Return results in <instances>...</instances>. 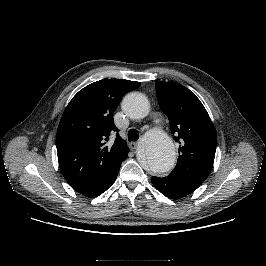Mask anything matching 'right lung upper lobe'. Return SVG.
<instances>
[{"mask_svg":"<svg viewBox=\"0 0 266 266\" xmlns=\"http://www.w3.org/2000/svg\"><path fill=\"white\" fill-rule=\"evenodd\" d=\"M139 86L135 81L102 79L81 89L67 105L56 147L60 171L74 190L101 182L126 159L129 149L112 116L122 97ZM113 132L117 137L108 146Z\"/></svg>","mask_w":266,"mask_h":266,"instance_id":"cb5924a9","label":"right lung upper lobe"}]
</instances>
